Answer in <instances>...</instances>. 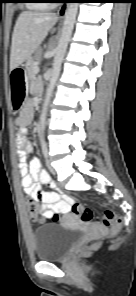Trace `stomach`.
Segmentation results:
<instances>
[{"label":"stomach","instance_id":"obj_1","mask_svg":"<svg viewBox=\"0 0 136 296\" xmlns=\"http://www.w3.org/2000/svg\"><path fill=\"white\" fill-rule=\"evenodd\" d=\"M26 74L27 69H12V84H26ZM25 90H28V85L12 86L13 103H11V108H13V111H20V108H23V105H25V101H30V96H28V93H25Z\"/></svg>","mask_w":136,"mask_h":296}]
</instances>
